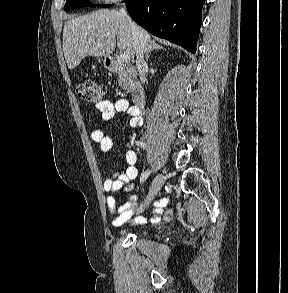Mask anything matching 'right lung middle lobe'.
Segmentation results:
<instances>
[{"label":"right lung middle lobe","instance_id":"dd1d6c3e","mask_svg":"<svg viewBox=\"0 0 288 293\" xmlns=\"http://www.w3.org/2000/svg\"><path fill=\"white\" fill-rule=\"evenodd\" d=\"M90 0H67L64 6V10H71L74 8H80L84 6H91ZM111 5H102V7H110Z\"/></svg>","mask_w":288,"mask_h":293}]
</instances>
